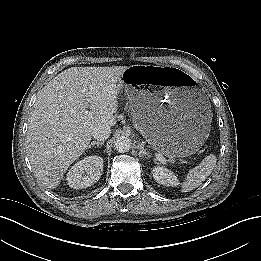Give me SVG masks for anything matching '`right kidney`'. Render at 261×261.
<instances>
[{"instance_id": "obj_1", "label": "right kidney", "mask_w": 261, "mask_h": 261, "mask_svg": "<svg viewBox=\"0 0 261 261\" xmlns=\"http://www.w3.org/2000/svg\"><path fill=\"white\" fill-rule=\"evenodd\" d=\"M103 171V158L88 156L71 167L67 173L68 185L73 189L87 188L96 183Z\"/></svg>"}]
</instances>
